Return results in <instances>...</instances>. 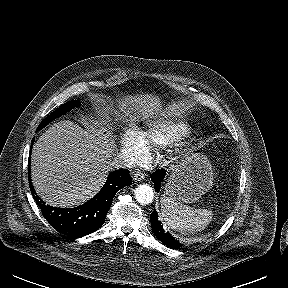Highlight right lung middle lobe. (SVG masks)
I'll return each mask as SVG.
<instances>
[{"mask_svg": "<svg viewBox=\"0 0 288 288\" xmlns=\"http://www.w3.org/2000/svg\"><path fill=\"white\" fill-rule=\"evenodd\" d=\"M80 102L78 100H73V101H69L63 105H61L58 109H56L55 111H53L50 115H48L39 125L38 129H42L45 125H47L48 123H50L51 121H53L54 119L62 116L63 114H65L66 112H68L69 110H71L72 108L75 107H79L80 106Z\"/></svg>", "mask_w": 288, "mask_h": 288, "instance_id": "1", "label": "right lung middle lobe"}]
</instances>
